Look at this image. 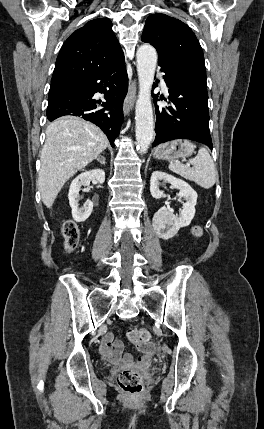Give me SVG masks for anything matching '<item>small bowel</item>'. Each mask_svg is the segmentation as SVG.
<instances>
[{
  "label": "small bowel",
  "instance_id": "small-bowel-1",
  "mask_svg": "<svg viewBox=\"0 0 264 429\" xmlns=\"http://www.w3.org/2000/svg\"><path fill=\"white\" fill-rule=\"evenodd\" d=\"M123 349V343L120 340L114 341L112 333H107L103 337L99 348L100 353L108 359L117 363L129 365L132 363L133 358L130 354H123ZM139 351L141 352L142 358H145L153 353L154 345L147 343L139 346Z\"/></svg>",
  "mask_w": 264,
  "mask_h": 429
}]
</instances>
